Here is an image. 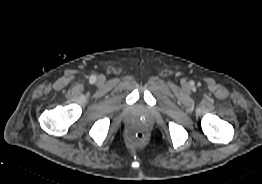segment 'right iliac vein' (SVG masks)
Returning <instances> with one entry per match:
<instances>
[{
    "mask_svg": "<svg viewBox=\"0 0 262 184\" xmlns=\"http://www.w3.org/2000/svg\"><path fill=\"white\" fill-rule=\"evenodd\" d=\"M103 80V77L102 76H99L98 77V81L101 82Z\"/></svg>",
    "mask_w": 262,
    "mask_h": 184,
    "instance_id": "1",
    "label": "right iliac vein"
}]
</instances>
